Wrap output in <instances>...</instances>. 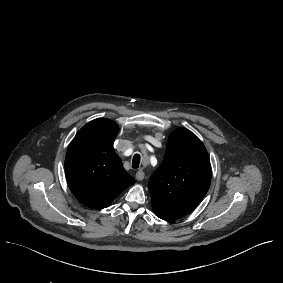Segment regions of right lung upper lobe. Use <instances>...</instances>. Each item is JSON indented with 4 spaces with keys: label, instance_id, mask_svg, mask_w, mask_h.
<instances>
[{
    "label": "right lung upper lobe",
    "instance_id": "right-lung-upper-lobe-1",
    "mask_svg": "<svg viewBox=\"0 0 283 283\" xmlns=\"http://www.w3.org/2000/svg\"><path fill=\"white\" fill-rule=\"evenodd\" d=\"M113 121L98 118L83 126L72 140L65 159L69 188L85 206L102 209L135 183L113 149L118 134Z\"/></svg>",
    "mask_w": 283,
    "mask_h": 283
}]
</instances>
